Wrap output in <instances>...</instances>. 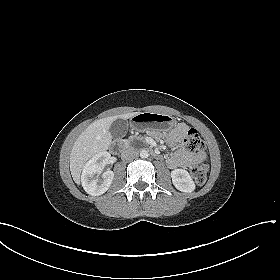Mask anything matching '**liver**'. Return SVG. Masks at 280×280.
Wrapping results in <instances>:
<instances>
[{
    "label": "liver",
    "mask_w": 280,
    "mask_h": 280,
    "mask_svg": "<svg viewBox=\"0 0 280 280\" xmlns=\"http://www.w3.org/2000/svg\"><path fill=\"white\" fill-rule=\"evenodd\" d=\"M137 114L138 112H132L96 120L79 135L70 153V171L76 184H80V174L88 159L99 152L106 151L110 146L111 124L118 118L126 120Z\"/></svg>",
    "instance_id": "1"
}]
</instances>
